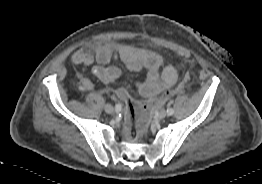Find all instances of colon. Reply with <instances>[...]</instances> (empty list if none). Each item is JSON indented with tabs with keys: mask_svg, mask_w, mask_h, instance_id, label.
Listing matches in <instances>:
<instances>
[{
	"mask_svg": "<svg viewBox=\"0 0 262 184\" xmlns=\"http://www.w3.org/2000/svg\"><path fill=\"white\" fill-rule=\"evenodd\" d=\"M189 80V75L186 74L183 80L173 89L167 90L160 96H157L146 103H138L132 100L125 88L116 90L117 96L126 104L128 112V126L136 134L142 132L148 122V109L167 99L168 97L177 94Z\"/></svg>",
	"mask_w": 262,
	"mask_h": 184,
	"instance_id": "obj_1",
	"label": "colon"
}]
</instances>
